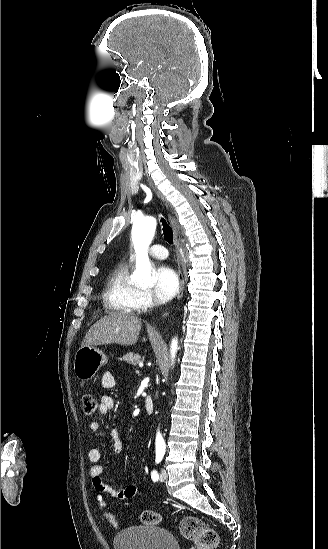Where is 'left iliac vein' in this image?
I'll return each mask as SVG.
<instances>
[{"instance_id":"4c4485c4","label":"left iliac vein","mask_w":328,"mask_h":549,"mask_svg":"<svg viewBox=\"0 0 328 549\" xmlns=\"http://www.w3.org/2000/svg\"><path fill=\"white\" fill-rule=\"evenodd\" d=\"M167 478V473H166V470L165 469H161L160 471V480L163 482L165 481Z\"/></svg>"}]
</instances>
